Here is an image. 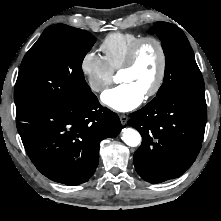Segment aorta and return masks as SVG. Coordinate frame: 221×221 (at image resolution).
<instances>
[{
  "mask_svg": "<svg viewBox=\"0 0 221 221\" xmlns=\"http://www.w3.org/2000/svg\"><path fill=\"white\" fill-rule=\"evenodd\" d=\"M122 140L128 146L136 147L141 143V136L139 132L133 128H124L122 130Z\"/></svg>",
  "mask_w": 221,
  "mask_h": 221,
  "instance_id": "1",
  "label": "aorta"
}]
</instances>
